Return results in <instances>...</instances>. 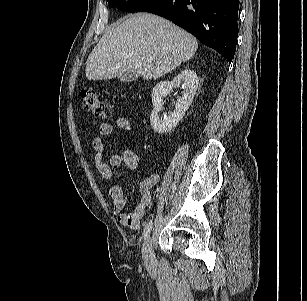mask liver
I'll return each instance as SVG.
<instances>
[{
    "label": "liver",
    "instance_id": "1",
    "mask_svg": "<svg viewBox=\"0 0 307 301\" xmlns=\"http://www.w3.org/2000/svg\"><path fill=\"white\" fill-rule=\"evenodd\" d=\"M197 48L196 38L172 22L138 13L102 36L87 59L86 77L105 80L135 72L145 80L158 79L193 57Z\"/></svg>",
    "mask_w": 307,
    "mask_h": 301
}]
</instances>
